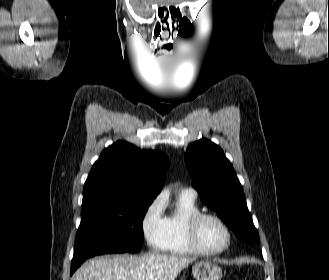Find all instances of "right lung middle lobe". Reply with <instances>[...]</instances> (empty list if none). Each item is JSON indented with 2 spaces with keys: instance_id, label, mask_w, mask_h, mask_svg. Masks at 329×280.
<instances>
[{
  "instance_id": "1",
  "label": "right lung middle lobe",
  "mask_w": 329,
  "mask_h": 280,
  "mask_svg": "<svg viewBox=\"0 0 329 280\" xmlns=\"http://www.w3.org/2000/svg\"><path fill=\"white\" fill-rule=\"evenodd\" d=\"M153 200L118 197L82 208L71 271L95 255L139 252L143 243L142 221Z\"/></svg>"
}]
</instances>
